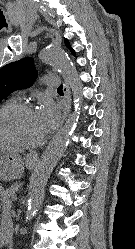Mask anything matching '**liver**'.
Masks as SVG:
<instances>
[{"instance_id":"liver-1","label":"liver","mask_w":135,"mask_h":249,"mask_svg":"<svg viewBox=\"0 0 135 249\" xmlns=\"http://www.w3.org/2000/svg\"><path fill=\"white\" fill-rule=\"evenodd\" d=\"M8 150H10V151H12V152H14V153H19V152H21V150H18V149H16V148H7Z\"/></svg>"}]
</instances>
